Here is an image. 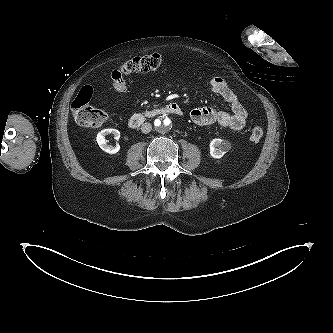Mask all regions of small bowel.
I'll use <instances>...</instances> for the list:
<instances>
[{"label": "small bowel", "mask_w": 333, "mask_h": 333, "mask_svg": "<svg viewBox=\"0 0 333 333\" xmlns=\"http://www.w3.org/2000/svg\"><path fill=\"white\" fill-rule=\"evenodd\" d=\"M210 90L220 95L230 106V112L219 111L205 106L190 111L191 120L200 126L217 124L234 131L241 130L247 119V112L236 93L222 77H214L209 82Z\"/></svg>", "instance_id": "obj_1"}]
</instances>
